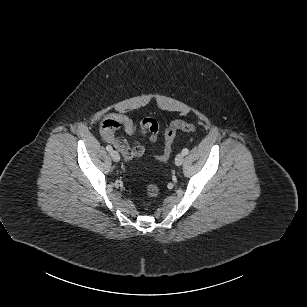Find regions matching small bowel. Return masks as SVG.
I'll list each match as a JSON object with an SVG mask.
<instances>
[{"label":"small bowel","instance_id":"1","mask_svg":"<svg viewBox=\"0 0 307 307\" xmlns=\"http://www.w3.org/2000/svg\"><path fill=\"white\" fill-rule=\"evenodd\" d=\"M122 129L126 134L133 135L137 131V125L134 121L122 113H109L100 124V134L103 140L112 144L127 161L139 158L144 155L145 147L142 139L129 145L124 137L117 136L116 132ZM139 130L142 138L149 135V139L155 142L158 137L159 126L156 120L145 118L140 122Z\"/></svg>","mask_w":307,"mask_h":307}]
</instances>
